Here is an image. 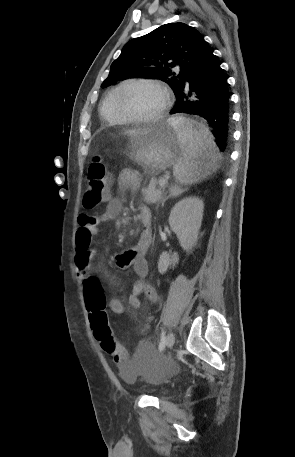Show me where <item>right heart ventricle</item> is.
I'll return each instance as SVG.
<instances>
[{"instance_id": "obj_1", "label": "right heart ventricle", "mask_w": 295, "mask_h": 457, "mask_svg": "<svg viewBox=\"0 0 295 457\" xmlns=\"http://www.w3.org/2000/svg\"><path fill=\"white\" fill-rule=\"evenodd\" d=\"M123 84V83H122ZM119 84L109 90L107 94L104 96L99 112L103 120H105L107 123H110L112 125H120L128 122L125 118H123L115 109L114 106V97L119 89V87L122 85Z\"/></svg>"}]
</instances>
